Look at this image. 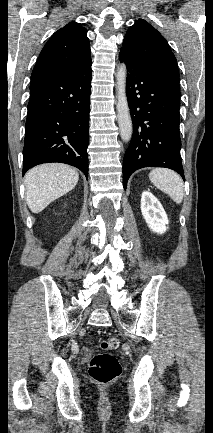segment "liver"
Segmentation results:
<instances>
[{
	"instance_id": "liver-1",
	"label": "liver",
	"mask_w": 213,
	"mask_h": 433,
	"mask_svg": "<svg viewBox=\"0 0 213 433\" xmlns=\"http://www.w3.org/2000/svg\"><path fill=\"white\" fill-rule=\"evenodd\" d=\"M76 169L61 163L33 167L25 177L26 202L33 213L44 210L51 202L71 191L78 183Z\"/></svg>"
}]
</instances>
